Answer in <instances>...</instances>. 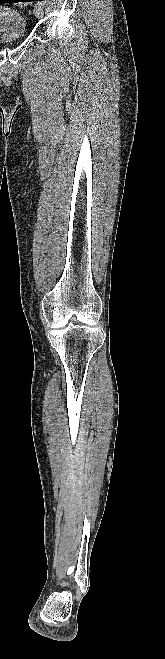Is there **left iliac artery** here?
I'll list each match as a JSON object with an SVG mask.
<instances>
[{
	"instance_id": "obj_1",
	"label": "left iliac artery",
	"mask_w": 165,
	"mask_h": 659,
	"mask_svg": "<svg viewBox=\"0 0 165 659\" xmlns=\"http://www.w3.org/2000/svg\"><path fill=\"white\" fill-rule=\"evenodd\" d=\"M38 4H39L41 7H43V4H42V3H38Z\"/></svg>"
}]
</instances>
